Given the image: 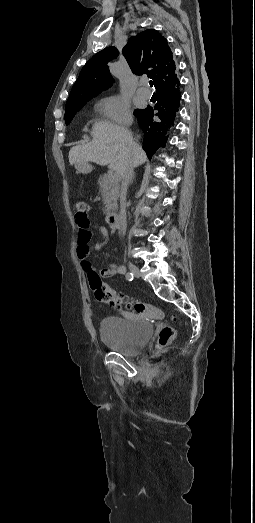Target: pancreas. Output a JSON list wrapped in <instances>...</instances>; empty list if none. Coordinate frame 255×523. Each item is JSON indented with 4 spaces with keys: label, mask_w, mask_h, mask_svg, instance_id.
I'll use <instances>...</instances> for the list:
<instances>
[{
    "label": "pancreas",
    "mask_w": 255,
    "mask_h": 523,
    "mask_svg": "<svg viewBox=\"0 0 255 523\" xmlns=\"http://www.w3.org/2000/svg\"><path fill=\"white\" fill-rule=\"evenodd\" d=\"M119 182L118 174H103L98 180L99 192L104 204L103 214H106V216H112L115 210H117Z\"/></svg>",
    "instance_id": "cf45deb5"
}]
</instances>
